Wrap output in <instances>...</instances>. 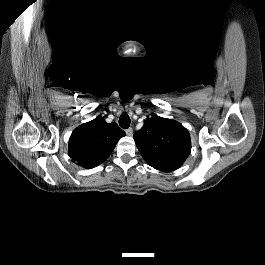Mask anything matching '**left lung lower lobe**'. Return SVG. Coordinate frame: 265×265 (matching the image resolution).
<instances>
[{"label":"left lung lower lobe","instance_id":"0a47b994","mask_svg":"<svg viewBox=\"0 0 265 265\" xmlns=\"http://www.w3.org/2000/svg\"><path fill=\"white\" fill-rule=\"evenodd\" d=\"M179 167H180V166H172V167H169V168L165 169L164 171H165V172L174 171V170L178 169Z\"/></svg>","mask_w":265,"mask_h":265}]
</instances>
